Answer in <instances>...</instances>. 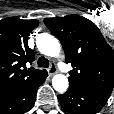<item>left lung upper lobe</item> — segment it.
<instances>
[{"label": "left lung upper lobe", "instance_id": "obj_1", "mask_svg": "<svg viewBox=\"0 0 114 114\" xmlns=\"http://www.w3.org/2000/svg\"><path fill=\"white\" fill-rule=\"evenodd\" d=\"M45 25L59 38L65 51L69 85L111 94L114 88V51L90 20L77 16L45 18Z\"/></svg>", "mask_w": 114, "mask_h": 114}]
</instances>
